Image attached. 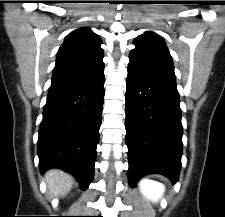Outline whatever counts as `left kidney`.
I'll return each mask as SVG.
<instances>
[{
	"instance_id": "1",
	"label": "left kidney",
	"mask_w": 225,
	"mask_h": 217,
	"mask_svg": "<svg viewBox=\"0 0 225 217\" xmlns=\"http://www.w3.org/2000/svg\"><path fill=\"white\" fill-rule=\"evenodd\" d=\"M139 187L141 193L152 202H157L165 191L163 184L149 179H142Z\"/></svg>"
}]
</instances>
